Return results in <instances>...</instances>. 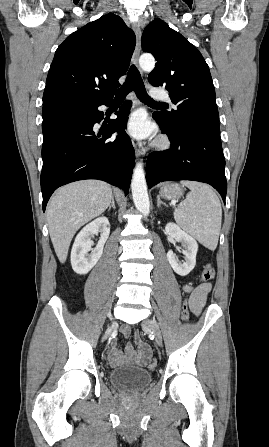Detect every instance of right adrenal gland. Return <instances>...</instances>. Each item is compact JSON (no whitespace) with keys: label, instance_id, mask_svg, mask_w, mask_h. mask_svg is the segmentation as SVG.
Masks as SVG:
<instances>
[{"label":"right adrenal gland","instance_id":"obj_1","mask_svg":"<svg viewBox=\"0 0 269 447\" xmlns=\"http://www.w3.org/2000/svg\"><path fill=\"white\" fill-rule=\"evenodd\" d=\"M111 208H113V210H116V206H115V202H114V196H112V202L108 208V212H110Z\"/></svg>","mask_w":269,"mask_h":447}]
</instances>
